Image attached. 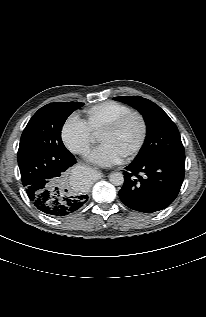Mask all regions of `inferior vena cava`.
Here are the masks:
<instances>
[{
	"label": "inferior vena cava",
	"mask_w": 206,
	"mask_h": 317,
	"mask_svg": "<svg viewBox=\"0 0 206 317\" xmlns=\"http://www.w3.org/2000/svg\"><path fill=\"white\" fill-rule=\"evenodd\" d=\"M81 152H82L83 154H85V155L87 154V150H86V149H82Z\"/></svg>",
	"instance_id": "obj_1"
}]
</instances>
